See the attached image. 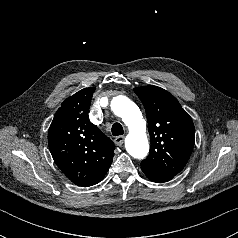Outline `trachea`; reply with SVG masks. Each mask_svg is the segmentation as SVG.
<instances>
[{"instance_id": "obj_1", "label": "trachea", "mask_w": 238, "mask_h": 238, "mask_svg": "<svg viewBox=\"0 0 238 238\" xmlns=\"http://www.w3.org/2000/svg\"><path fill=\"white\" fill-rule=\"evenodd\" d=\"M111 131H112L113 136L123 135V133H124L123 127L120 123H114L112 125Z\"/></svg>"}]
</instances>
